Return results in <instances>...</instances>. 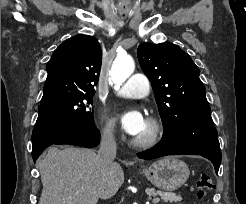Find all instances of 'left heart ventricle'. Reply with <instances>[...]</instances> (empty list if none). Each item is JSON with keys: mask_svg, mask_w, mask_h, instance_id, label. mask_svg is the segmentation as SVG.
I'll return each mask as SVG.
<instances>
[{"mask_svg": "<svg viewBox=\"0 0 246 204\" xmlns=\"http://www.w3.org/2000/svg\"><path fill=\"white\" fill-rule=\"evenodd\" d=\"M150 132V126L149 124L146 122L143 129L141 130V132L136 136V138H143L145 136H147Z\"/></svg>", "mask_w": 246, "mask_h": 204, "instance_id": "left-heart-ventricle-1", "label": "left heart ventricle"}]
</instances>
